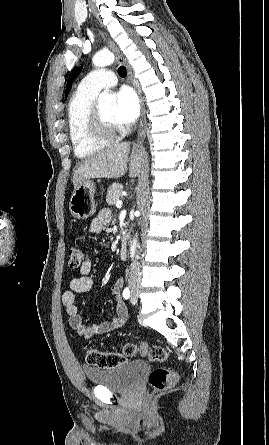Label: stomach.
<instances>
[{"instance_id": "1", "label": "stomach", "mask_w": 269, "mask_h": 445, "mask_svg": "<svg viewBox=\"0 0 269 445\" xmlns=\"http://www.w3.org/2000/svg\"><path fill=\"white\" fill-rule=\"evenodd\" d=\"M95 192V183L90 180L83 181L74 189L69 202V210L74 218L86 219L95 213Z\"/></svg>"}]
</instances>
